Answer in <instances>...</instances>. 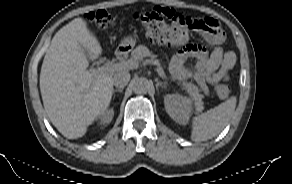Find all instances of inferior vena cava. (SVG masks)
I'll use <instances>...</instances> for the list:
<instances>
[{
  "mask_svg": "<svg viewBox=\"0 0 292 184\" xmlns=\"http://www.w3.org/2000/svg\"><path fill=\"white\" fill-rule=\"evenodd\" d=\"M130 80V74L127 71H119L113 76V84L118 88H124Z\"/></svg>",
  "mask_w": 292,
  "mask_h": 184,
  "instance_id": "602c4592",
  "label": "inferior vena cava"
}]
</instances>
